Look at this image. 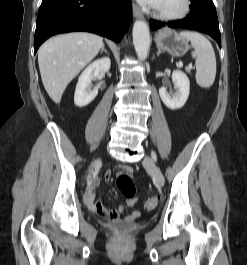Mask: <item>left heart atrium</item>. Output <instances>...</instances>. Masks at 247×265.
Listing matches in <instances>:
<instances>
[{
	"label": "left heart atrium",
	"instance_id": "left-heart-atrium-1",
	"mask_svg": "<svg viewBox=\"0 0 247 265\" xmlns=\"http://www.w3.org/2000/svg\"><path fill=\"white\" fill-rule=\"evenodd\" d=\"M142 5L157 7L160 0H138Z\"/></svg>",
	"mask_w": 247,
	"mask_h": 265
}]
</instances>
